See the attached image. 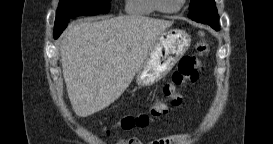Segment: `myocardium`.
Listing matches in <instances>:
<instances>
[{"mask_svg": "<svg viewBox=\"0 0 273 144\" xmlns=\"http://www.w3.org/2000/svg\"><path fill=\"white\" fill-rule=\"evenodd\" d=\"M184 2H185V0H180L179 5L176 8L166 9L162 5V0H153L154 7H155L156 11H159V12L165 13V14H172V13L178 12L180 10L181 6L184 4Z\"/></svg>", "mask_w": 273, "mask_h": 144, "instance_id": "obj_1", "label": "myocardium"}]
</instances>
